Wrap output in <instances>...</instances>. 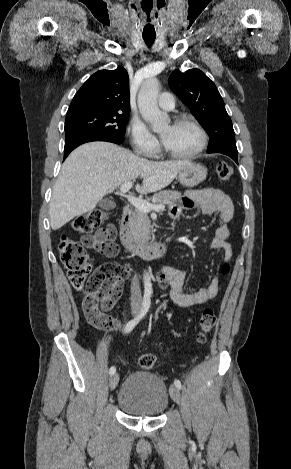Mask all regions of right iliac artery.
<instances>
[{"label":"right iliac artery","mask_w":291,"mask_h":469,"mask_svg":"<svg viewBox=\"0 0 291 469\" xmlns=\"http://www.w3.org/2000/svg\"><path fill=\"white\" fill-rule=\"evenodd\" d=\"M150 304H151L150 296L145 295L144 298H143L142 308H141L139 314L126 324V326L124 328L125 333H129L131 330H133L134 327L139 323V321L147 314V312L150 308ZM115 371H116V368L114 366H112L109 369L110 375L114 374Z\"/></svg>","instance_id":"right-iliac-artery-1"}]
</instances>
